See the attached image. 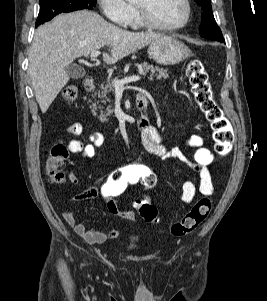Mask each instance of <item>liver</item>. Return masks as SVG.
<instances>
[{"label": "liver", "instance_id": "obj_1", "mask_svg": "<svg viewBox=\"0 0 267 301\" xmlns=\"http://www.w3.org/2000/svg\"><path fill=\"white\" fill-rule=\"evenodd\" d=\"M162 37L165 36L158 33L123 30L86 10L60 14L40 26L31 45L28 73L42 113L68 83L66 68L76 58L108 45L111 55L103 53V61L114 64Z\"/></svg>", "mask_w": 267, "mask_h": 301}]
</instances>
